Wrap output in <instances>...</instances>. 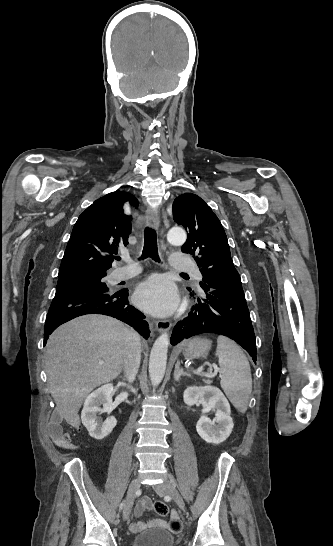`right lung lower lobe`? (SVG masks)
Instances as JSON below:
<instances>
[{"mask_svg": "<svg viewBox=\"0 0 333 546\" xmlns=\"http://www.w3.org/2000/svg\"><path fill=\"white\" fill-rule=\"evenodd\" d=\"M93 313L117 318L132 326L145 339L150 336L145 315L129 304L128 289L113 294L78 292L54 297L45 321L44 345L48 336L61 324L75 317Z\"/></svg>", "mask_w": 333, "mask_h": 546, "instance_id": "1", "label": "right lung lower lobe"}]
</instances>
